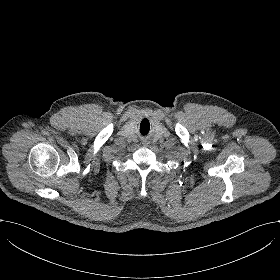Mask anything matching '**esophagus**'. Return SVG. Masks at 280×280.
I'll return each mask as SVG.
<instances>
[{
	"label": "esophagus",
	"instance_id": "obj_1",
	"mask_svg": "<svg viewBox=\"0 0 280 280\" xmlns=\"http://www.w3.org/2000/svg\"><path fill=\"white\" fill-rule=\"evenodd\" d=\"M148 144H149V143H148L147 141H145V140L142 141V145H143V146L146 147V146H148Z\"/></svg>",
	"mask_w": 280,
	"mask_h": 280
}]
</instances>
